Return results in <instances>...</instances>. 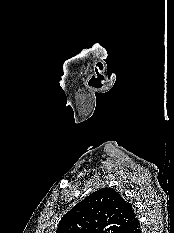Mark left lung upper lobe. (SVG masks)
I'll return each instance as SVG.
<instances>
[{"label":"left lung upper lobe","mask_w":174,"mask_h":233,"mask_svg":"<svg viewBox=\"0 0 174 233\" xmlns=\"http://www.w3.org/2000/svg\"><path fill=\"white\" fill-rule=\"evenodd\" d=\"M135 217L131 203L115 190L102 188L68 211L56 233H120Z\"/></svg>","instance_id":"left-lung-upper-lobe-1"}]
</instances>
